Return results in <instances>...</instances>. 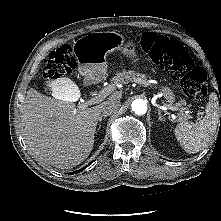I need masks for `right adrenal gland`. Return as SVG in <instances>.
<instances>
[{
    "label": "right adrenal gland",
    "mask_w": 221,
    "mask_h": 221,
    "mask_svg": "<svg viewBox=\"0 0 221 221\" xmlns=\"http://www.w3.org/2000/svg\"><path fill=\"white\" fill-rule=\"evenodd\" d=\"M107 117V115H101L100 117H99V123H101L102 122V119L103 118H106ZM99 127H101V124H99Z\"/></svg>",
    "instance_id": "2a0ac1e0"
}]
</instances>
